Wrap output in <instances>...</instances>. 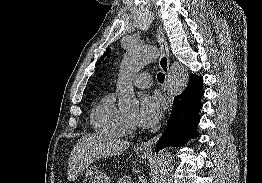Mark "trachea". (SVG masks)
<instances>
[{"instance_id":"3493384b","label":"trachea","mask_w":262,"mask_h":183,"mask_svg":"<svg viewBox=\"0 0 262 183\" xmlns=\"http://www.w3.org/2000/svg\"><path fill=\"white\" fill-rule=\"evenodd\" d=\"M157 79L160 83H163L164 82V79H165V75L163 73H158L157 75Z\"/></svg>"}]
</instances>
